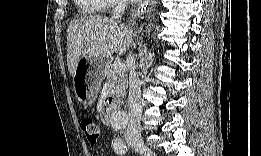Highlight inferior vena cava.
<instances>
[{
  "instance_id": "obj_1",
  "label": "inferior vena cava",
  "mask_w": 261,
  "mask_h": 156,
  "mask_svg": "<svg viewBox=\"0 0 261 156\" xmlns=\"http://www.w3.org/2000/svg\"><path fill=\"white\" fill-rule=\"evenodd\" d=\"M126 8L125 1H120L112 10V19H121L122 13ZM130 63L129 75V97H128V115L129 123L125 133V139L129 145H142L141 137V81L136 73V62L133 55L129 54Z\"/></svg>"
}]
</instances>
